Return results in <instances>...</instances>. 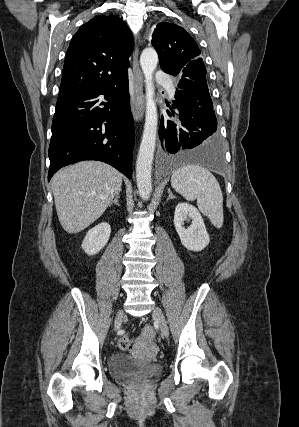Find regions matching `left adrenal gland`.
<instances>
[{
  "mask_svg": "<svg viewBox=\"0 0 299 427\" xmlns=\"http://www.w3.org/2000/svg\"><path fill=\"white\" fill-rule=\"evenodd\" d=\"M168 194H169V196H168V199H167V200L172 199V198H175V196L173 195V193L171 192V190H170V189H168Z\"/></svg>",
  "mask_w": 299,
  "mask_h": 427,
  "instance_id": "1",
  "label": "left adrenal gland"
}]
</instances>
